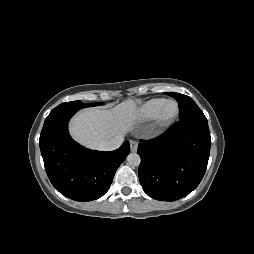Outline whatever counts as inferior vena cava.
Here are the masks:
<instances>
[{
  "mask_svg": "<svg viewBox=\"0 0 254 254\" xmlns=\"http://www.w3.org/2000/svg\"><path fill=\"white\" fill-rule=\"evenodd\" d=\"M123 143V136H116L108 141L101 142L98 145V150L112 151L119 148Z\"/></svg>",
  "mask_w": 254,
  "mask_h": 254,
  "instance_id": "inferior-vena-cava-1",
  "label": "inferior vena cava"
}]
</instances>
